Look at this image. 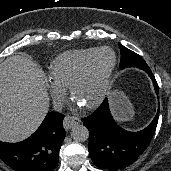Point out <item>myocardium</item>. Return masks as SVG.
<instances>
[{"mask_svg":"<svg viewBox=\"0 0 171 171\" xmlns=\"http://www.w3.org/2000/svg\"><path fill=\"white\" fill-rule=\"evenodd\" d=\"M105 50H108L112 53L113 62L111 64L110 68L108 69V71L106 72L105 76H104L102 88H101L99 95L92 102H90L87 105H84V107L86 109H93V108L97 107L106 98L107 93L109 91L111 79H112L113 73H114L116 65H117V56H116L115 51L111 47H108V46H103V47L95 49V51L91 54V56L84 62V64L81 66V68L74 75V77L72 78V80L69 84V92H70V95L73 96V92H74L75 87L85 77V75L87 74V72H88L93 60L95 59V57L100 52L105 51Z\"/></svg>","mask_w":171,"mask_h":171,"instance_id":"1","label":"myocardium"}]
</instances>
